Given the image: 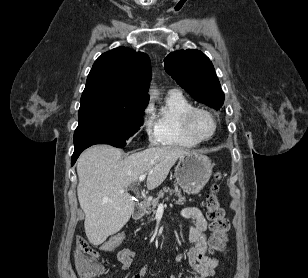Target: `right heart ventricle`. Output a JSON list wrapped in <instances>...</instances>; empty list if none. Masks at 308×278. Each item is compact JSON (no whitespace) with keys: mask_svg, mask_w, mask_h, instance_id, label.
Masks as SVG:
<instances>
[{"mask_svg":"<svg viewBox=\"0 0 308 278\" xmlns=\"http://www.w3.org/2000/svg\"><path fill=\"white\" fill-rule=\"evenodd\" d=\"M192 104L181 93H169L163 107L154 114L156 143L166 147L191 148L198 143L189 138L182 129L181 115Z\"/></svg>","mask_w":308,"mask_h":278,"instance_id":"1","label":"right heart ventricle"}]
</instances>
